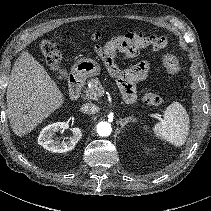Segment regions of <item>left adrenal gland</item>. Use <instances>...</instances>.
Segmentation results:
<instances>
[{"instance_id":"a2214340","label":"left adrenal gland","mask_w":211,"mask_h":211,"mask_svg":"<svg viewBox=\"0 0 211 211\" xmlns=\"http://www.w3.org/2000/svg\"><path fill=\"white\" fill-rule=\"evenodd\" d=\"M130 122H134V119L132 117L123 118L119 121L121 128H123L125 125H127Z\"/></svg>"}]
</instances>
